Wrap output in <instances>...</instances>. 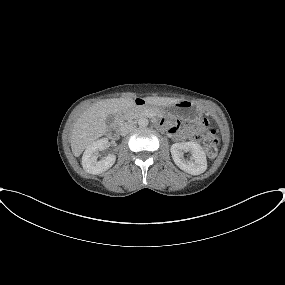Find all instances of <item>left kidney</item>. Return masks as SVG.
I'll list each match as a JSON object with an SVG mask.
<instances>
[{"mask_svg": "<svg viewBox=\"0 0 285 285\" xmlns=\"http://www.w3.org/2000/svg\"><path fill=\"white\" fill-rule=\"evenodd\" d=\"M184 152L191 153V160L184 158ZM171 154L175 164L191 175H199L207 169L206 154L196 142L175 143L171 146Z\"/></svg>", "mask_w": 285, "mask_h": 285, "instance_id": "1", "label": "left kidney"}]
</instances>
